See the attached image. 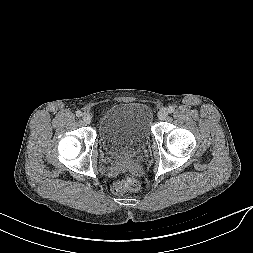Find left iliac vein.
Wrapping results in <instances>:
<instances>
[{"instance_id":"4c4485c4","label":"left iliac vein","mask_w":253,"mask_h":253,"mask_svg":"<svg viewBox=\"0 0 253 253\" xmlns=\"http://www.w3.org/2000/svg\"><path fill=\"white\" fill-rule=\"evenodd\" d=\"M168 115V110L166 108H162L158 112V118L160 120H165Z\"/></svg>"}]
</instances>
